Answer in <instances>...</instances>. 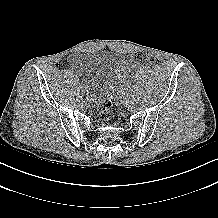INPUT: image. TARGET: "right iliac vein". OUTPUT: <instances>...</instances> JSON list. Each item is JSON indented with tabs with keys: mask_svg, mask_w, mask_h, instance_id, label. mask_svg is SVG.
Segmentation results:
<instances>
[{
	"mask_svg": "<svg viewBox=\"0 0 218 218\" xmlns=\"http://www.w3.org/2000/svg\"><path fill=\"white\" fill-rule=\"evenodd\" d=\"M80 91H81L82 93H85V92H86L85 87H84V86H81V87H80Z\"/></svg>",
	"mask_w": 218,
	"mask_h": 218,
	"instance_id": "right-iliac-vein-1",
	"label": "right iliac vein"
}]
</instances>
